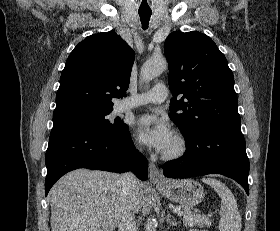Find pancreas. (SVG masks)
I'll list each match as a JSON object with an SVG mask.
<instances>
[{
	"instance_id": "cf45deb5",
	"label": "pancreas",
	"mask_w": 280,
	"mask_h": 231,
	"mask_svg": "<svg viewBox=\"0 0 280 231\" xmlns=\"http://www.w3.org/2000/svg\"><path fill=\"white\" fill-rule=\"evenodd\" d=\"M178 215H183V221L185 225H199V227H210L212 225V219H209L208 215H201V213H194V211H190L188 207H185L182 213H178Z\"/></svg>"
}]
</instances>
